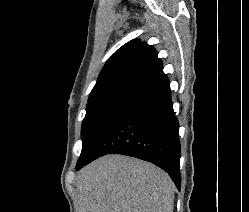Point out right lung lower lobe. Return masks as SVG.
<instances>
[{"instance_id": "98d812e1", "label": "right lung lower lobe", "mask_w": 249, "mask_h": 212, "mask_svg": "<svg viewBox=\"0 0 249 212\" xmlns=\"http://www.w3.org/2000/svg\"><path fill=\"white\" fill-rule=\"evenodd\" d=\"M178 120L169 81L139 95L106 128L77 170L106 154L149 161L165 170L180 189Z\"/></svg>"}]
</instances>
